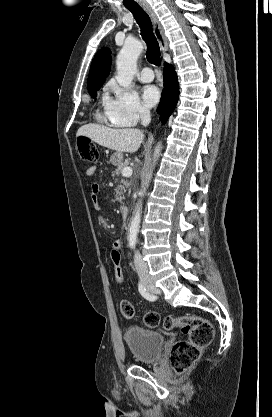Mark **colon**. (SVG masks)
Instances as JSON below:
<instances>
[{
    "label": "colon",
    "instance_id": "5ec220e1",
    "mask_svg": "<svg viewBox=\"0 0 272 417\" xmlns=\"http://www.w3.org/2000/svg\"><path fill=\"white\" fill-rule=\"evenodd\" d=\"M78 153L82 160L95 162L99 158L96 146L87 138H79L77 141ZM111 261L114 268V277L118 284L123 283L124 271L121 264V254L117 249L111 251ZM120 312L126 318L135 316V309L128 300H121ZM147 326L155 328L161 323L159 315L154 312L147 313L144 317ZM163 327L167 330L179 328L188 339L180 340L174 344L170 354V362L178 374H184L190 370L201 357L202 349L213 339L214 330L209 321L197 315L173 317L168 316L163 320Z\"/></svg>",
    "mask_w": 272,
    "mask_h": 417
}]
</instances>
